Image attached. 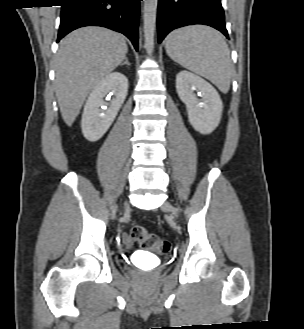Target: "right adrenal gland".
<instances>
[{
    "label": "right adrenal gland",
    "instance_id": "2a0ac1e0",
    "mask_svg": "<svg viewBox=\"0 0 304 329\" xmlns=\"http://www.w3.org/2000/svg\"><path fill=\"white\" fill-rule=\"evenodd\" d=\"M125 64L128 65V66H130V63L128 61V58H125V61L123 63H121L120 66H123Z\"/></svg>",
    "mask_w": 304,
    "mask_h": 329
}]
</instances>
